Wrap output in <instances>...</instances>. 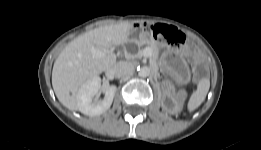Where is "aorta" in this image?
Instances as JSON below:
<instances>
[{"label":"aorta","instance_id":"aorta-1","mask_svg":"<svg viewBox=\"0 0 261 150\" xmlns=\"http://www.w3.org/2000/svg\"><path fill=\"white\" fill-rule=\"evenodd\" d=\"M152 71L149 67H141L139 70H138V75L142 78H145V77H148L149 75H151Z\"/></svg>","mask_w":261,"mask_h":150}]
</instances>
